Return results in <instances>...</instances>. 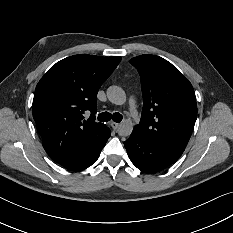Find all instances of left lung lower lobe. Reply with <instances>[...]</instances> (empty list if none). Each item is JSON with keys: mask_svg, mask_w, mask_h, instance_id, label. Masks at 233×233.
<instances>
[{"mask_svg": "<svg viewBox=\"0 0 233 233\" xmlns=\"http://www.w3.org/2000/svg\"><path fill=\"white\" fill-rule=\"evenodd\" d=\"M124 145L132 163L145 173H156L165 169L183 153L151 142L134 130Z\"/></svg>", "mask_w": 233, "mask_h": 233, "instance_id": "obj_1", "label": "left lung lower lobe"}]
</instances>
